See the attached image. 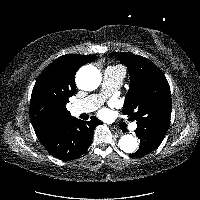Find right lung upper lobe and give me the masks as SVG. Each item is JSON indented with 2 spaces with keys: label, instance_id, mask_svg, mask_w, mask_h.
<instances>
[{
  "label": "right lung upper lobe",
  "instance_id": "obj_1",
  "mask_svg": "<svg viewBox=\"0 0 200 200\" xmlns=\"http://www.w3.org/2000/svg\"><path fill=\"white\" fill-rule=\"evenodd\" d=\"M95 55L66 54L53 61L38 77L31 95L29 115L36 135L52 123L70 118L68 98L76 93L75 73Z\"/></svg>",
  "mask_w": 200,
  "mask_h": 200
}]
</instances>
